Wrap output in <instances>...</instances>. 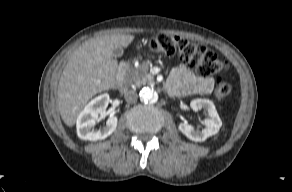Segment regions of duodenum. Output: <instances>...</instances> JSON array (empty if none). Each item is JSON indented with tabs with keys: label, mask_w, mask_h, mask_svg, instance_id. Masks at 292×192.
<instances>
[{
	"label": "duodenum",
	"mask_w": 292,
	"mask_h": 192,
	"mask_svg": "<svg viewBox=\"0 0 292 192\" xmlns=\"http://www.w3.org/2000/svg\"><path fill=\"white\" fill-rule=\"evenodd\" d=\"M127 67H128V64L125 62L120 64L118 71H117V75H116V79H117L118 83L122 82L124 75H125V72L127 70Z\"/></svg>",
	"instance_id": "410a0bca"
}]
</instances>
